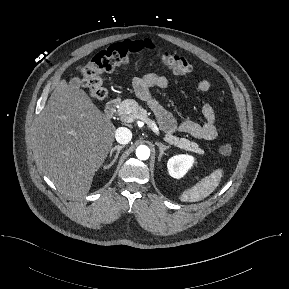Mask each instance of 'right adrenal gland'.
I'll return each mask as SVG.
<instances>
[{
    "label": "right adrenal gland",
    "mask_w": 289,
    "mask_h": 289,
    "mask_svg": "<svg viewBox=\"0 0 289 289\" xmlns=\"http://www.w3.org/2000/svg\"><path fill=\"white\" fill-rule=\"evenodd\" d=\"M122 148H124V145H121V146L116 145L115 147H113V148L110 150L109 158L112 157V155H113V153H114L115 151H116V155L114 156L113 160L104 167L105 169H109L111 166L114 165V163L116 162V160H117V158H118V156H119V153H120V151L122 150Z\"/></svg>",
    "instance_id": "obj_1"
}]
</instances>
